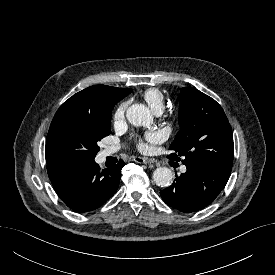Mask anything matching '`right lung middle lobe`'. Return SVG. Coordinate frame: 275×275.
I'll use <instances>...</instances> for the list:
<instances>
[{
	"label": "right lung middle lobe",
	"instance_id": "obj_1",
	"mask_svg": "<svg viewBox=\"0 0 275 275\" xmlns=\"http://www.w3.org/2000/svg\"><path fill=\"white\" fill-rule=\"evenodd\" d=\"M111 113L99 118H68L51 126L46 139V163L93 161L100 150L98 142L110 134Z\"/></svg>",
	"mask_w": 275,
	"mask_h": 275
}]
</instances>
